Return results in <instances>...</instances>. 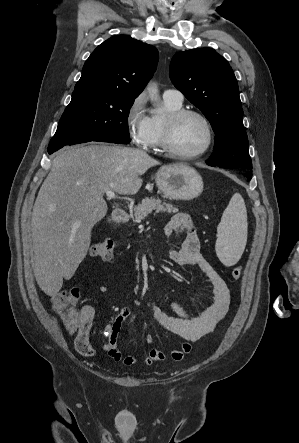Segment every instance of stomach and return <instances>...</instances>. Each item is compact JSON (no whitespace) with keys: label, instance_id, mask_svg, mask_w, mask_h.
Masks as SVG:
<instances>
[{"label":"stomach","instance_id":"0dacf381","mask_svg":"<svg viewBox=\"0 0 299 443\" xmlns=\"http://www.w3.org/2000/svg\"><path fill=\"white\" fill-rule=\"evenodd\" d=\"M158 189L169 199L191 200L203 191L200 174L185 164H170L161 167L155 176Z\"/></svg>","mask_w":299,"mask_h":443}]
</instances>
